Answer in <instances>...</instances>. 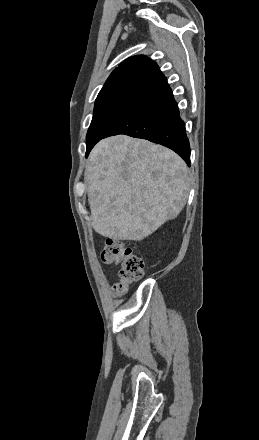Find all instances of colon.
Returning <instances> with one entry per match:
<instances>
[{
    "label": "colon",
    "instance_id": "5ec220e1",
    "mask_svg": "<svg viewBox=\"0 0 259 440\" xmlns=\"http://www.w3.org/2000/svg\"><path fill=\"white\" fill-rule=\"evenodd\" d=\"M101 258L107 264L119 266V280L114 285V290L118 295L124 294L130 284L140 280L144 275L145 263L143 258L119 240L106 239Z\"/></svg>",
    "mask_w": 259,
    "mask_h": 440
}]
</instances>
